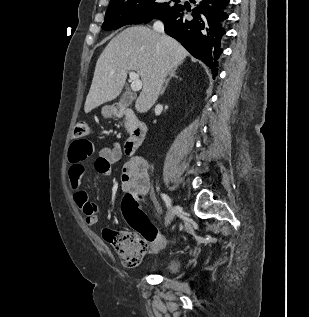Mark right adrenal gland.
<instances>
[{"label": "right adrenal gland", "mask_w": 309, "mask_h": 317, "mask_svg": "<svg viewBox=\"0 0 309 317\" xmlns=\"http://www.w3.org/2000/svg\"><path fill=\"white\" fill-rule=\"evenodd\" d=\"M173 77H174V78H178V76L176 75V69L172 70V71L169 73V77L166 79L165 85H164V86L162 87V89H161V92H160L161 95H163V93H164V91H165V89H166V87H167L169 81H170Z\"/></svg>", "instance_id": "1"}]
</instances>
